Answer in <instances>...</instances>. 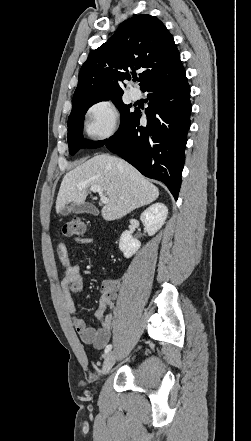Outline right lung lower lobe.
Here are the masks:
<instances>
[{
  "label": "right lung lower lobe",
  "instance_id": "98d812e1",
  "mask_svg": "<svg viewBox=\"0 0 251 441\" xmlns=\"http://www.w3.org/2000/svg\"><path fill=\"white\" fill-rule=\"evenodd\" d=\"M142 91L149 92L147 125H140L135 110L105 145L146 177L162 181L177 200L192 108L185 69L155 78Z\"/></svg>",
  "mask_w": 251,
  "mask_h": 441
}]
</instances>
